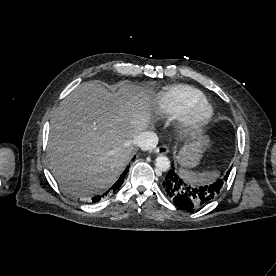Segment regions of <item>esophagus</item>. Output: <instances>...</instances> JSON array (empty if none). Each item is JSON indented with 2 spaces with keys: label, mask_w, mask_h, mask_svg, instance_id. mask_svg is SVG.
<instances>
[{
  "label": "esophagus",
  "mask_w": 276,
  "mask_h": 276,
  "mask_svg": "<svg viewBox=\"0 0 276 276\" xmlns=\"http://www.w3.org/2000/svg\"><path fill=\"white\" fill-rule=\"evenodd\" d=\"M154 152L158 154H167L169 152V149L166 145H161L158 148H156Z\"/></svg>",
  "instance_id": "1"
}]
</instances>
